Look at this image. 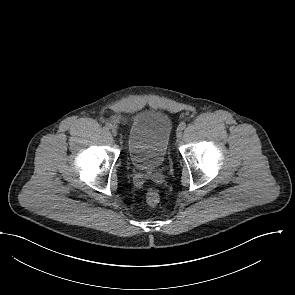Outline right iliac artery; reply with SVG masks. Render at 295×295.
I'll use <instances>...</instances> for the list:
<instances>
[{
	"instance_id": "right-iliac-artery-1",
	"label": "right iliac artery",
	"mask_w": 295,
	"mask_h": 295,
	"mask_svg": "<svg viewBox=\"0 0 295 295\" xmlns=\"http://www.w3.org/2000/svg\"><path fill=\"white\" fill-rule=\"evenodd\" d=\"M112 128V124L111 123H106L105 124V129L109 130Z\"/></svg>"
}]
</instances>
